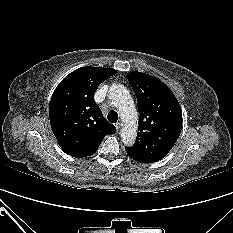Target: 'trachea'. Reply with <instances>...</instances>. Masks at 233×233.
I'll list each match as a JSON object with an SVG mask.
<instances>
[{"label": "trachea", "mask_w": 233, "mask_h": 233, "mask_svg": "<svg viewBox=\"0 0 233 233\" xmlns=\"http://www.w3.org/2000/svg\"><path fill=\"white\" fill-rule=\"evenodd\" d=\"M107 119L112 122L115 123L118 120V114L116 111H110L107 115Z\"/></svg>", "instance_id": "obj_1"}]
</instances>
